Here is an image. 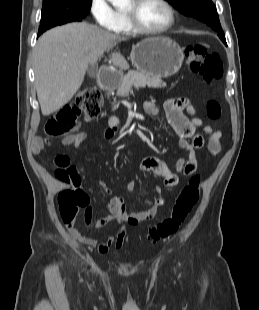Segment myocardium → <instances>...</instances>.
I'll use <instances>...</instances> for the list:
<instances>
[{
    "instance_id": "1",
    "label": "myocardium",
    "mask_w": 259,
    "mask_h": 310,
    "mask_svg": "<svg viewBox=\"0 0 259 310\" xmlns=\"http://www.w3.org/2000/svg\"><path fill=\"white\" fill-rule=\"evenodd\" d=\"M143 1L144 0H132V8L124 12L128 25L133 32L144 35H161L173 28L176 23V11L168 0H158L164 5L169 14L168 22L164 26L157 29H150L142 26L137 19L136 11Z\"/></svg>"
}]
</instances>
